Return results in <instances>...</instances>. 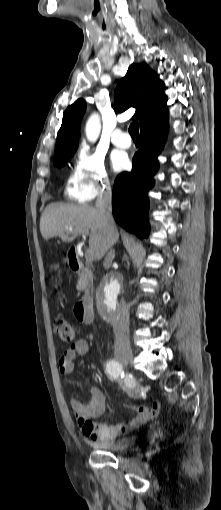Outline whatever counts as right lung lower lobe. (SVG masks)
I'll return each instance as SVG.
<instances>
[{
	"label": "right lung lower lobe",
	"instance_id": "obj_1",
	"mask_svg": "<svg viewBox=\"0 0 221 510\" xmlns=\"http://www.w3.org/2000/svg\"><path fill=\"white\" fill-rule=\"evenodd\" d=\"M167 119L141 128L140 149L133 157L130 173L123 172L115 180L112 193L113 215L116 222L139 238L149 232L148 191L154 186L159 155L166 138Z\"/></svg>",
	"mask_w": 221,
	"mask_h": 510
}]
</instances>
